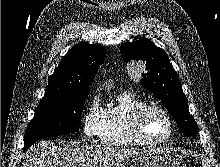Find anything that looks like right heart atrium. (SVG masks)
Returning a JSON list of instances; mask_svg holds the SVG:
<instances>
[{"label":"right heart atrium","instance_id":"right-heart-atrium-1","mask_svg":"<svg viewBox=\"0 0 220 167\" xmlns=\"http://www.w3.org/2000/svg\"><path fill=\"white\" fill-rule=\"evenodd\" d=\"M105 109L100 104L97 94L88 101L82 118V131L85 139L90 140L98 137L102 130Z\"/></svg>","mask_w":220,"mask_h":167}]
</instances>
